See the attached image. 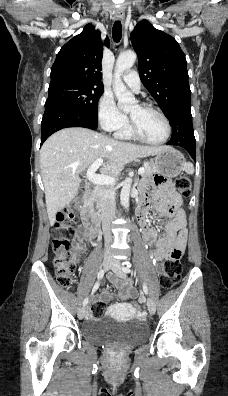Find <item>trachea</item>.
<instances>
[{"instance_id": "1", "label": "trachea", "mask_w": 228, "mask_h": 396, "mask_svg": "<svg viewBox=\"0 0 228 396\" xmlns=\"http://www.w3.org/2000/svg\"><path fill=\"white\" fill-rule=\"evenodd\" d=\"M112 36L115 42H119L122 36V26L120 21H116L113 25Z\"/></svg>"}]
</instances>
